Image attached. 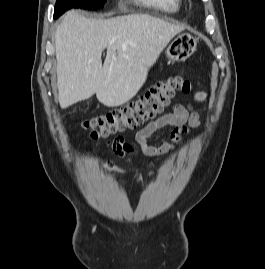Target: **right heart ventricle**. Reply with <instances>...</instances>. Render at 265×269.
<instances>
[{
  "instance_id": "obj_1",
  "label": "right heart ventricle",
  "mask_w": 265,
  "mask_h": 269,
  "mask_svg": "<svg viewBox=\"0 0 265 269\" xmlns=\"http://www.w3.org/2000/svg\"><path fill=\"white\" fill-rule=\"evenodd\" d=\"M138 3L166 13H175L180 10L181 0H136Z\"/></svg>"
}]
</instances>
